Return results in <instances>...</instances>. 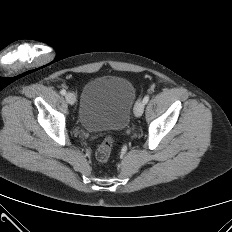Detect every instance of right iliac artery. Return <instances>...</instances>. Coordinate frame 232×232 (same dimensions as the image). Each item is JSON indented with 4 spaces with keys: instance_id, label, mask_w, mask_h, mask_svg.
Returning <instances> with one entry per match:
<instances>
[{
    "instance_id": "1",
    "label": "right iliac artery",
    "mask_w": 232,
    "mask_h": 232,
    "mask_svg": "<svg viewBox=\"0 0 232 232\" xmlns=\"http://www.w3.org/2000/svg\"><path fill=\"white\" fill-rule=\"evenodd\" d=\"M60 93H61V95H65V94H66V90L62 89V90L60 91Z\"/></svg>"
}]
</instances>
